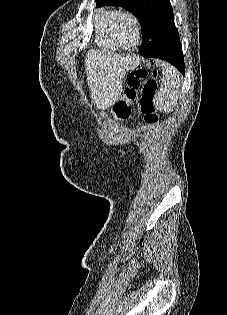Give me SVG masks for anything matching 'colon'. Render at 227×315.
Returning a JSON list of instances; mask_svg holds the SVG:
<instances>
[{"label":"colon","mask_w":227,"mask_h":315,"mask_svg":"<svg viewBox=\"0 0 227 315\" xmlns=\"http://www.w3.org/2000/svg\"><path fill=\"white\" fill-rule=\"evenodd\" d=\"M158 90L156 72H149L144 67H138L127 74L126 85L122 97L115 103L113 111L115 115L124 119L130 112V104L137 98L140 91V109L144 114V120L149 125L158 122V115L155 108V97Z\"/></svg>","instance_id":"1"}]
</instances>
